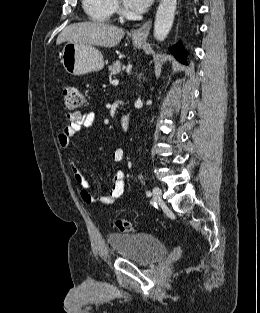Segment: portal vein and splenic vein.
<instances>
[{
  "label": "portal vein and splenic vein",
  "instance_id": "1",
  "mask_svg": "<svg viewBox=\"0 0 260 313\" xmlns=\"http://www.w3.org/2000/svg\"><path fill=\"white\" fill-rule=\"evenodd\" d=\"M118 83H119L118 80H113V81H112V84H113V85H117Z\"/></svg>",
  "mask_w": 260,
  "mask_h": 313
}]
</instances>
